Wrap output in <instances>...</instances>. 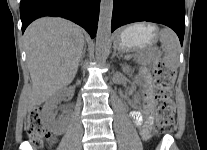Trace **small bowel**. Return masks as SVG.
I'll return each mask as SVG.
<instances>
[{"label":"small bowel","mask_w":207,"mask_h":150,"mask_svg":"<svg viewBox=\"0 0 207 150\" xmlns=\"http://www.w3.org/2000/svg\"><path fill=\"white\" fill-rule=\"evenodd\" d=\"M143 75L147 80L144 90V103L146 107L145 113L132 111L130 116L136 127L138 128L143 139H148L151 134L153 124V99L150 87V76L145 69L142 70Z\"/></svg>","instance_id":"c3829d8e"}]
</instances>
